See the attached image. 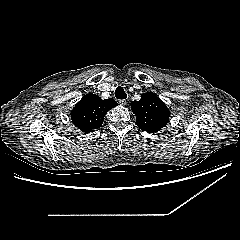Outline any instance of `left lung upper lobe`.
<instances>
[{"instance_id": "left-lung-upper-lobe-1", "label": "left lung upper lobe", "mask_w": 240, "mask_h": 240, "mask_svg": "<svg viewBox=\"0 0 240 240\" xmlns=\"http://www.w3.org/2000/svg\"><path fill=\"white\" fill-rule=\"evenodd\" d=\"M130 105L137 126L144 131L158 132L169 122L170 111L155 93H144L139 101H132Z\"/></svg>"}]
</instances>
